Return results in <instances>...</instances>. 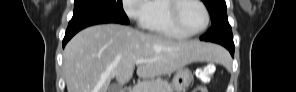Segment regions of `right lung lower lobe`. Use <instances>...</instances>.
I'll return each instance as SVG.
<instances>
[{
  "mask_svg": "<svg viewBox=\"0 0 296 92\" xmlns=\"http://www.w3.org/2000/svg\"><path fill=\"white\" fill-rule=\"evenodd\" d=\"M103 23H118V22L110 19H106V18H101V17H84L79 19H71V21L69 22L68 28L66 30L65 37L63 39V47L78 31L91 25L103 24Z\"/></svg>",
  "mask_w": 296,
  "mask_h": 92,
  "instance_id": "right-lung-lower-lobe-1",
  "label": "right lung lower lobe"
}]
</instances>
